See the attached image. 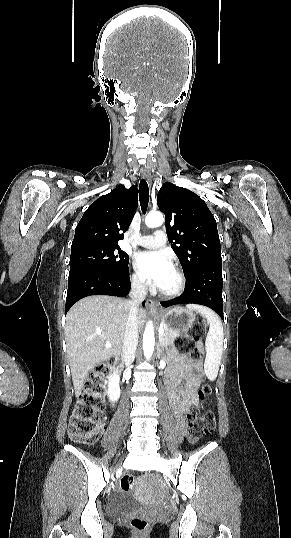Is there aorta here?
Segmentation results:
<instances>
[{
    "label": "aorta",
    "mask_w": 291,
    "mask_h": 538,
    "mask_svg": "<svg viewBox=\"0 0 291 538\" xmlns=\"http://www.w3.org/2000/svg\"><path fill=\"white\" fill-rule=\"evenodd\" d=\"M164 222V217L160 212H150L145 218V224L149 228L161 226ZM155 345L154 327L152 322H148L143 334V352L146 359H150L153 355Z\"/></svg>",
    "instance_id": "1"
}]
</instances>
